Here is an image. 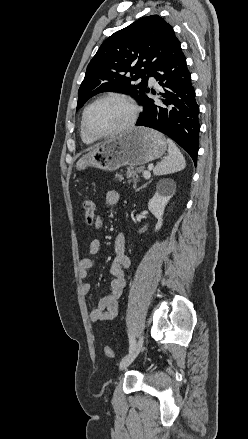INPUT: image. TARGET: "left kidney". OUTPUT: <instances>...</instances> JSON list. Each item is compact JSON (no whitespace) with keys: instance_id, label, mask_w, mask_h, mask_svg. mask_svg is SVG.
<instances>
[{"instance_id":"1","label":"left kidney","mask_w":248,"mask_h":439,"mask_svg":"<svg viewBox=\"0 0 248 439\" xmlns=\"http://www.w3.org/2000/svg\"><path fill=\"white\" fill-rule=\"evenodd\" d=\"M165 183L166 181H160L157 184L156 192L148 202L149 211L158 219V222L155 226V231L160 230L162 227L165 207L174 193L173 183H169L168 186H165Z\"/></svg>"}]
</instances>
